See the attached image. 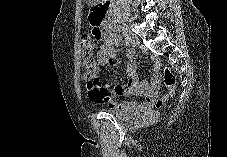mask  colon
Segmentation results:
<instances>
[{
	"label": "colon",
	"instance_id": "colon-1",
	"mask_svg": "<svg viewBox=\"0 0 227 157\" xmlns=\"http://www.w3.org/2000/svg\"><path fill=\"white\" fill-rule=\"evenodd\" d=\"M89 16H98L97 9H91ZM94 26L97 27V25ZM98 39H99L98 32H93L92 34L85 32L81 36V46L84 58L83 67L85 71L84 75L87 85H94L99 81L98 79L99 65L98 61L95 59L94 56ZM163 81L165 86L169 90L168 96L172 95L175 89L176 79L169 68H165L164 70ZM168 96L157 99L154 102L155 107L162 108L165 105Z\"/></svg>",
	"mask_w": 227,
	"mask_h": 157
}]
</instances>
